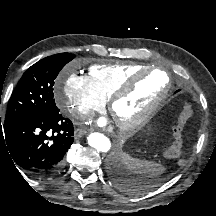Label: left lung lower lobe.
Returning <instances> with one entry per match:
<instances>
[{"label": "left lung lower lobe", "instance_id": "obj_1", "mask_svg": "<svg viewBox=\"0 0 216 216\" xmlns=\"http://www.w3.org/2000/svg\"><path fill=\"white\" fill-rule=\"evenodd\" d=\"M111 173L115 183L122 189L130 192L138 190V183L127 175L119 161H113L111 165Z\"/></svg>", "mask_w": 216, "mask_h": 216}]
</instances>
